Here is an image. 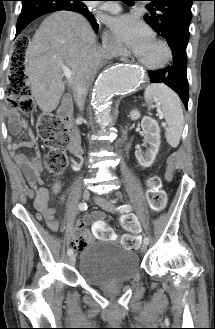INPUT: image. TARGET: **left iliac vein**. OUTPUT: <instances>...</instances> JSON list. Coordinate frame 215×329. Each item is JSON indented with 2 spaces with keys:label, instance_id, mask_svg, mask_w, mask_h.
I'll list each match as a JSON object with an SVG mask.
<instances>
[{
  "label": "left iliac vein",
  "instance_id": "1",
  "mask_svg": "<svg viewBox=\"0 0 215 329\" xmlns=\"http://www.w3.org/2000/svg\"><path fill=\"white\" fill-rule=\"evenodd\" d=\"M94 201L96 202V204H98L102 209L108 211V212H111V213H115L116 212V207L115 205L109 201V200H106L104 198H101V197H95L94 198ZM147 250V244L143 243L141 245V251L142 252H146Z\"/></svg>",
  "mask_w": 215,
  "mask_h": 329
}]
</instances>
